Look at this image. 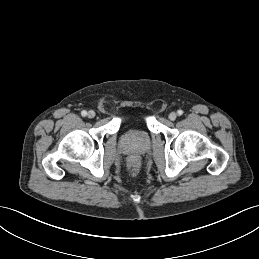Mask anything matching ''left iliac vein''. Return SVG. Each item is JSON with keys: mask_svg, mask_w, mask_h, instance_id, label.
<instances>
[{"mask_svg": "<svg viewBox=\"0 0 259 259\" xmlns=\"http://www.w3.org/2000/svg\"><path fill=\"white\" fill-rule=\"evenodd\" d=\"M176 118H177V114H176L175 112H171V113L169 114V119H170L171 121H174Z\"/></svg>", "mask_w": 259, "mask_h": 259, "instance_id": "1", "label": "left iliac vein"}]
</instances>
